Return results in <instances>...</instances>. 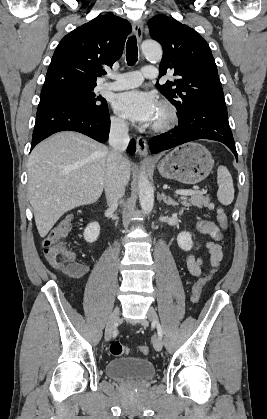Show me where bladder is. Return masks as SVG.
<instances>
[{"label":"bladder","mask_w":267,"mask_h":419,"mask_svg":"<svg viewBox=\"0 0 267 419\" xmlns=\"http://www.w3.org/2000/svg\"><path fill=\"white\" fill-rule=\"evenodd\" d=\"M105 373L116 380L146 381L154 377V365L146 358L123 357L107 362Z\"/></svg>","instance_id":"1"}]
</instances>
